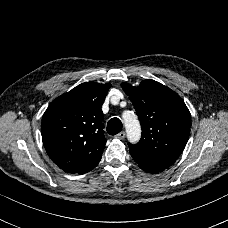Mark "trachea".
<instances>
[{"instance_id":"1","label":"trachea","mask_w":228,"mask_h":228,"mask_svg":"<svg viewBox=\"0 0 228 228\" xmlns=\"http://www.w3.org/2000/svg\"><path fill=\"white\" fill-rule=\"evenodd\" d=\"M122 122L118 118H112L107 123V132L110 135H116L122 130Z\"/></svg>"}]
</instances>
